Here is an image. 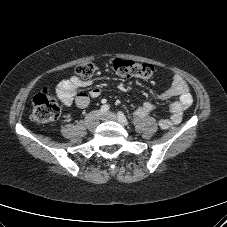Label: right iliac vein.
Returning a JSON list of instances; mask_svg holds the SVG:
<instances>
[{
    "label": "right iliac vein",
    "mask_w": 227,
    "mask_h": 227,
    "mask_svg": "<svg viewBox=\"0 0 227 227\" xmlns=\"http://www.w3.org/2000/svg\"><path fill=\"white\" fill-rule=\"evenodd\" d=\"M101 111H93L86 117L85 123L89 129H95L98 125V120L102 117Z\"/></svg>",
    "instance_id": "1"
}]
</instances>
